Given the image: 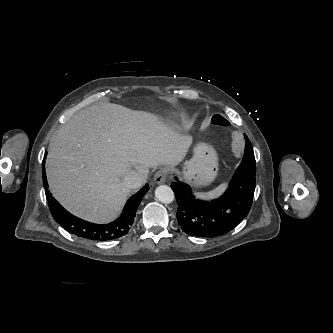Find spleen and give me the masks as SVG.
Returning a JSON list of instances; mask_svg holds the SVG:
<instances>
[{
  "mask_svg": "<svg viewBox=\"0 0 333 333\" xmlns=\"http://www.w3.org/2000/svg\"><path fill=\"white\" fill-rule=\"evenodd\" d=\"M227 188V183H222L212 191L206 193H196V196L201 199H212L220 196Z\"/></svg>",
  "mask_w": 333,
  "mask_h": 333,
  "instance_id": "3e777b00",
  "label": "spleen"
}]
</instances>
